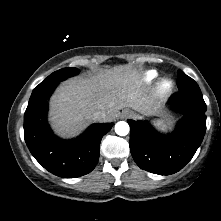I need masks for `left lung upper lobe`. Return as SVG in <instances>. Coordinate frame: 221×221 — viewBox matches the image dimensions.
I'll use <instances>...</instances> for the list:
<instances>
[{
  "mask_svg": "<svg viewBox=\"0 0 221 221\" xmlns=\"http://www.w3.org/2000/svg\"><path fill=\"white\" fill-rule=\"evenodd\" d=\"M178 90L179 91H198L200 92V88L197 83L187 76L183 71L178 70Z\"/></svg>",
  "mask_w": 221,
  "mask_h": 221,
  "instance_id": "left-lung-upper-lobe-1",
  "label": "left lung upper lobe"
}]
</instances>
